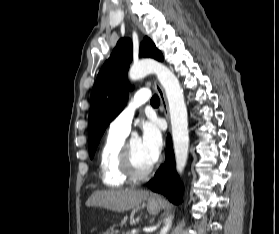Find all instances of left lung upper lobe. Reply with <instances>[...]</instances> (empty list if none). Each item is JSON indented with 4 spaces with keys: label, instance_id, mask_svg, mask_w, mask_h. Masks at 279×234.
<instances>
[{
    "label": "left lung upper lobe",
    "instance_id": "5c2ea615",
    "mask_svg": "<svg viewBox=\"0 0 279 234\" xmlns=\"http://www.w3.org/2000/svg\"><path fill=\"white\" fill-rule=\"evenodd\" d=\"M162 61L163 55L148 37L140 46L139 56ZM132 61L130 39L118 41L112 54L102 66L91 92L88 123V145L93 158L100 138L108 124L122 111L129 96L127 72Z\"/></svg>",
    "mask_w": 279,
    "mask_h": 234
}]
</instances>
